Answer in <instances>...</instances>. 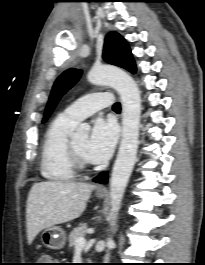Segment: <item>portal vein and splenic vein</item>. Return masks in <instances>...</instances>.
<instances>
[{
	"instance_id": "portal-vein-and-splenic-vein-1",
	"label": "portal vein and splenic vein",
	"mask_w": 205,
	"mask_h": 265,
	"mask_svg": "<svg viewBox=\"0 0 205 265\" xmlns=\"http://www.w3.org/2000/svg\"><path fill=\"white\" fill-rule=\"evenodd\" d=\"M85 243H86V239H85L84 237H78V238L76 239V244H75V246H76V247H83V246L85 245Z\"/></svg>"
}]
</instances>
